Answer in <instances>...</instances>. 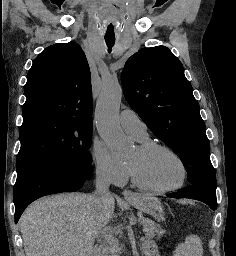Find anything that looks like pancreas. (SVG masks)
I'll return each instance as SVG.
<instances>
[{"label":"pancreas","instance_id":"cf45deb5","mask_svg":"<svg viewBox=\"0 0 236 256\" xmlns=\"http://www.w3.org/2000/svg\"><path fill=\"white\" fill-rule=\"evenodd\" d=\"M118 223H121V220H118ZM142 227H144L145 238L141 239L142 243H149V238H156V236H164V231L160 230L161 226L155 224L152 220H145L142 222ZM119 226H106L104 230V237H100V242H104V254L114 253L119 242L117 238H114L112 233H119Z\"/></svg>","mask_w":236,"mask_h":256}]
</instances>
